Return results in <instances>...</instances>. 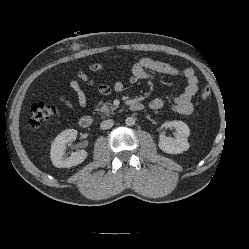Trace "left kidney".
<instances>
[{"mask_svg": "<svg viewBox=\"0 0 249 249\" xmlns=\"http://www.w3.org/2000/svg\"><path fill=\"white\" fill-rule=\"evenodd\" d=\"M164 128H175L177 136L175 139L165 136L164 133L159 136V148L168 154H180L189 149L190 145L187 138L190 130L186 123L182 121H170L163 124Z\"/></svg>", "mask_w": 249, "mask_h": 249, "instance_id": "left-kidney-1", "label": "left kidney"}]
</instances>
